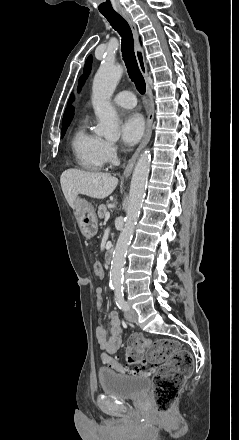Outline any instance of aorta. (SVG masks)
<instances>
[{"label": "aorta", "mask_w": 239, "mask_h": 440, "mask_svg": "<svg viewBox=\"0 0 239 440\" xmlns=\"http://www.w3.org/2000/svg\"><path fill=\"white\" fill-rule=\"evenodd\" d=\"M122 74L123 68L115 66V62H111L106 58L98 72H96L92 86L91 102L95 116L99 120L95 132L98 136H103L105 140H113V142L119 140V118L115 108L110 104V98L117 84H119ZM149 164L150 154L148 150H145L144 154H141L132 174L126 222L112 256L110 284L120 292H122L127 250L143 204Z\"/></svg>", "instance_id": "1"}]
</instances>
